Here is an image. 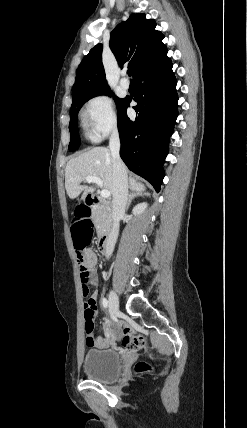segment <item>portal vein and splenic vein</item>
Masks as SVG:
<instances>
[{"label": "portal vein and splenic vein", "mask_w": 247, "mask_h": 428, "mask_svg": "<svg viewBox=\"0 0 247 428\" xmlns=\"http://www.w3.org/2000/svg\"><path fill=\"white\" fill-rule=\"evenodd\" d=\"M86 181L87 182H94L99 187L103 188V181L99 177H97V176H87L86 177ZM100 195L103 198H107V197L110 196V192L108 190H106V189H102Z\"/></svg>", "instance_id": "obj_1"}]
</instances>
